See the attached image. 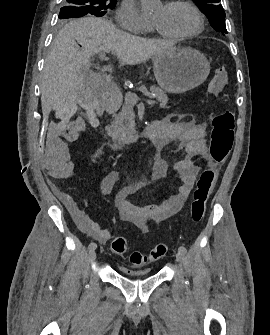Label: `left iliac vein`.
I'll use <instances>...</instances> for the list:
<instances>
[{"instance_id":"left-iliac-vein-1","label":"left iliac vein","mask_w":270,"mask_h":335,"mask_svg":"<svg viewBox=\"0 0 270 335\" xmlns=\"http://www.w3.org/2000/svg\"><path fill=\"white\" fill-rule=\"evenodd\" d=\"M176 259H177L178 262L183 263L184 262V254L178 251L176 253Z\"/></svg>"}]
</instances>
